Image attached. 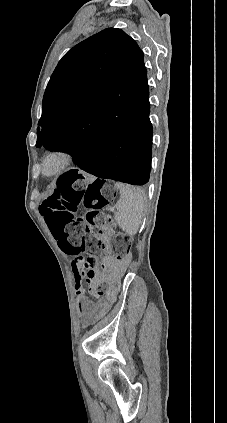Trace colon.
<instances>
[{
  "mask_svg": "<svg viewBox=\"0 0 227 423\" xmlns=\"http://www.w3.org/2000/svg\"><path fill=\"white\" fill-rule=\"evenodd\" d=\"M115 196L110 185L89 182L75 172H66L40 206V213L60 248L70 255H89L77 257L71 267L76 284L88 282L96 296L105 295L103 285L96 278L93 259L107 247L104 234L112 233L109 247L116 260H127L131 254V238L115 232L111 217L102 211ZM80 206L89 210L85 217L78 215Z\"/></svg>",
  "mask_w": 227,
  "mask_h": 423,
  "instance_id": "colon-1",
  "label": "colon"
}]
</instances>
